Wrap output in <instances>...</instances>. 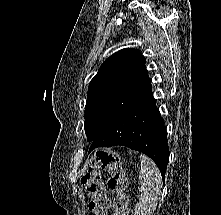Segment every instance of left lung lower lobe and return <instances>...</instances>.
<instances>
[{"label":"left lung lower lobe","mask_w":221,"mask_h":215,"mask_svg":"<svg viewBox=\"0 0 221 215\" xmlns=\"http://www.w3.org/2000/svg\"><path fill=\"white\" fill-rule=\"evenodd\" d=\"M122 145L148 155L160 169L163 179L169 160L165 127L152 97V89L125 110L98 135L89 153L98 147Z\"/></svg>","instance_id":"obj_1"}]
</instances>
